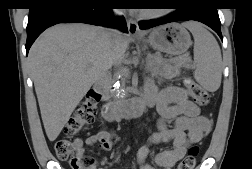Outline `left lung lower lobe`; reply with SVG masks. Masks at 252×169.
I'll list each match as a JSON object with an SVG mask.
<instances>
[{"instance_id":"0a47b994","label":"left lung lower lobe","mask_w":252,"mask_h":169,"mask_svg":"<svg viewBox=\"0 0 252 169\" xmlns=\"http://www.w3.org/2000/svg\"><path fill=\"white\" fill-rule=\"evenodd\" d=\"M177 5L179 6L177 10L166 17L139 22V28L149 29L170 22L194 20L212 28L223 40L218 7L214 0L178 1Z\"/></svg>"}]
</instances>
